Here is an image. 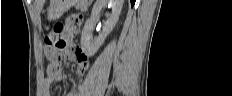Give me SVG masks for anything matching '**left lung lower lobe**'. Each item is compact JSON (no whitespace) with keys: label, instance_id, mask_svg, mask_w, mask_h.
Segmentation results:
<instances>
[{"label":"left lung lower lobe","instance_id":"0a47b994","mask_svg":"<svg viewBox=\"0 0 232 96\" xmlns=\"http://www.w3.org/2000/svg\"><path fill=\"white\" fill-rule=\"evenodd\" d=\"M130 1H131V6H133L135 3V0H130Z\"/></svg>","mask_w":232,"mask_h":96}]
</instances>
